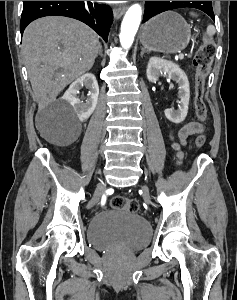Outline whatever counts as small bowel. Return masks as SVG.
I'll use <instances>...</instances> for the list:
<instances>
[{
  "mask_svg": "<svg viewBox=\"0 0 237 300\" xmlns=\"http://www.w3.org/2000/svg\"><path fill=\"white\" fill-rule=\"evenodd\" d=\"M201 131V125L198 122H188L176 131L170 133V139L173 142V147L177 151L178 163L182 159L181 148L187 143L189 137Z\"/></svg>",
  "mask_w": 237,
  "mask_h": 300,
  "instance_id": "small-bowel-1",
  "label": "small bowel"
}]
</instances>
